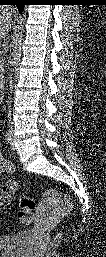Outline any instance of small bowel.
Instances as JSON below:
<instances>
[{
  "mask_svg": "<svg viewBox=\"0 0 106 257\" xmlns=\"http://www.w3.org/2000/svg\"><path fill=\"white\" fill-rule=\"evenodd\" d=\"M0 168L6 174L14 175L16 173L14 165L5 159L0 160ZM18 189V182L16 179L8 180L1 188L0 207L5 208L11 201L13 195Z\"/></svg>",
  "mask_w": 106,
  "mask_h": 257,
  "instance_id": "1",
  "label": "small bowel"
}]
</instances>
